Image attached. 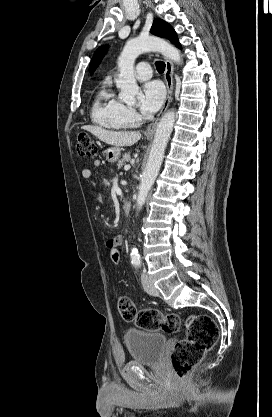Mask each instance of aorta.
<instances>
[{
  "instance_id": "obj_1",
  "label": "aorta",
  "mask_w": 272,
  "mask_h": 417,
  "mask_svg": "<svg viewBox=\"0 0 272 417\" xmlns=\"http://www.w3.org/2000/svg\"><path fill=\"white\" fill-rule=\"evenodd\" d=\"M148 51H159L163 56L172 61L176 63L181 62L180 51L161 38L155 36H140L127 41L118 58L119 78L116 85L120 89V100L129 105L135 104V97L139 92V87L134 76L135 60L140 54ZM174 122L175 112L170 110L165 113L157 125L148 161L142 173L138 188V211H140L145 204L147 195L158 175L164 158L165 148L173 130ZM130 257L132 261L139 260L140 257L137 249L133 248L131 250Z\"/></svg>"
}]
</instances>
